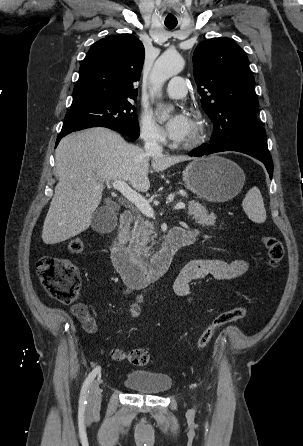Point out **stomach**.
I'll use <instances>...</instances> for the list:
<instances>
[{
	"label": "stomach",
	"mask_w": 303,
	"mask_h": 446,
	"mask_svg": "<svg viewBox=\"0 0 303 446\" xmlns=\"http://www.w3.org/2000/svg\"><path fill=\"white\" fill-rule=\"evenodd\" d=\"M183 181L197 197L225 202L241 191L245 174L235 162L212 155L189 163L183 171Z\"/></svg>",
	"instance_id": "0dacf381"
}]
</instances>
